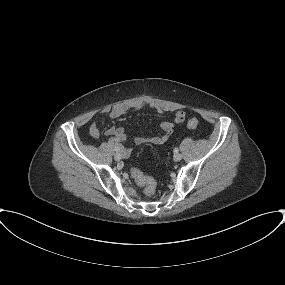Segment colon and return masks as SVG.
Masks as SVG:
<instances>
[{"label":"colon","instance_id":"5ec220e1","mask_svg":"<svg viewBox=\"0 0 285 285\" xmlns=\"http://www.w3.org/2000/svg\"><path fill=\"white\" fill-rule=\"evenodd\" d=\"M182 117H183V114L180 113L179 118H182ZM198 126H199V122L195 118H192V119L188 120V122H187V127L190 129H197ZM131 175H132L133 179L135 180V182L144 188V192L147 195L154 194L156 183H155L153 178L144 174L142 171H140L136 168H133L131 170Z\"/></svg>","mask_w":285,"mask_h":285}]
</instances>
